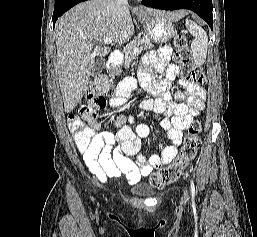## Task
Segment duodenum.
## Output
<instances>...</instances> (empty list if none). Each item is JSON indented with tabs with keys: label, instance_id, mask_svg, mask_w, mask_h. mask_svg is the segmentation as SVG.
<instances>
[{
	"label": "duodenum",
	"instance_id": "1",
	"mask_svg": "<svg viewBox=\"0 0 257 237\" xmlns=\"http://www.w3.org/2000/svg\"><path fill=\"white\" fill-rule=\"evenodd\" d=\"M119 56L115 55L114 57L111 58L110 60V69H115L116 65L118 63Z\"/></svg>",
	"mask_w": 257,
	"mask_h": 237
}]
</instances>
